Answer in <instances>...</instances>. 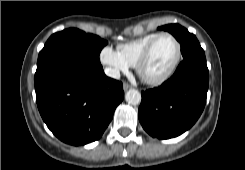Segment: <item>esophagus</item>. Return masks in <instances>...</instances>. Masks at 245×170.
Masks as SVG:
<instances>
[{
  "mask_svg": "<svg viewBox=\"0 0 245 170\" xmlns=\"http://www.w3.org/2000/svg\"><path fill=\"white\" fill-rule=\"evenodd\" d=\"M129 88H130V85L129 84H127V83H124L123 84L124 91H127Z\"/></svg>",
  "mask_w": 245,
  "mask_h": 170,
  "instance_id": "obj_1",
  "label": "esophagus"
}]
</instances>
